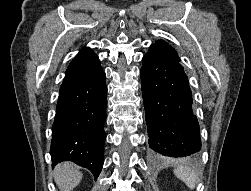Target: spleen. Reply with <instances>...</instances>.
Segmentation results:
<instances>
[{
  "mask_svg": "<svg viewBox=\"0 0 251 191\" xmlns=\"http://www.w3.org/2000/svg\"><path fill=\"white\" fill-rule=\"evenodd\" d=\"M175 175L182 179L190 189H194L197 181V171L195 167H184V165H179L174 169Z\"/></svg>",
  "mask_w": 251,
  "mask_h": 191,
  "instance_id": "1",
  "label": "spleen"
}]
</instances>
